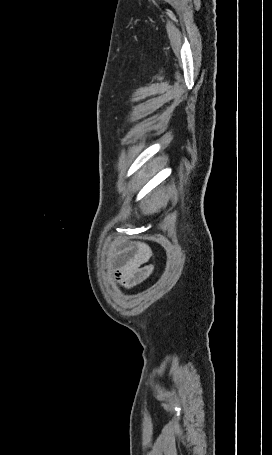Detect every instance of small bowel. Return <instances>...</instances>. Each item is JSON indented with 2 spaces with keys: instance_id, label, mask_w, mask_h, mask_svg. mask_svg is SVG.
<instances>
[{
  "instance_id": "c3829d8e",
  "label": "small bowel",
  "mask_w": 272,
  "mask_h": 455,
  "mask_svg": "<svg viewBox=\"0 0 272 455\" xmlns=\"http://www.w3.org/2000/svg\"><path fill=\"white\" fill-rule=\"evenodd\" d=\"M150 257L151 250L146 243L137 242L124 247L114 260V281L126 289L139 285L153 272V266L147 264Z\"/></svg>"
}]
</instances>
